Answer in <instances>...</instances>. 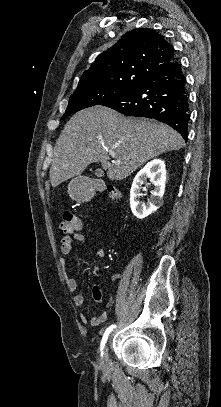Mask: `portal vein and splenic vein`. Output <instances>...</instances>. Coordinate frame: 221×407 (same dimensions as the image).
Returning a JSON list of instances; mask_svg holds the SVG:
<instances>
[{
	"label": "portal vein and splenic vein",
	"mask_w": 221,
	"mask_h": 407,
	"mask_svg": "<svg viewBox=\"0 0 221 407\" xmlns=\"http://www.w3.org/2000/svg\"><path fill=\"white\" fill-rule=\"evenodd\" d=\"M110 155H111V157H114V156H115V154H114V153H111Z\"/></svg>",
	"instance_id": "1"
}]
</instances>
